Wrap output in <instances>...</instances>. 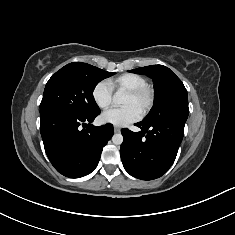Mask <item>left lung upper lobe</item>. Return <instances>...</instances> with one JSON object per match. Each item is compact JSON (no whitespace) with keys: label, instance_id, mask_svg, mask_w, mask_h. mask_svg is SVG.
<instances>
[{"label":"left lung upper lobe","instance_id":"obj_1","mask_svg":"<svg viewBox=\"0 0 235 235\" xmlns=\"http://www.w3.org/2000/svg\"><path fill=\"white\" fill-rule=\"evenodd\" d=\"M130 72L147 75L154 81V104L142 122L163 118L187 120L189 114L187 90L169 68L163 65H151Z\"/></svg>","mask_w":235,"mask_h":235}]
</instances>
